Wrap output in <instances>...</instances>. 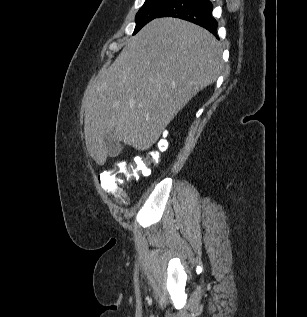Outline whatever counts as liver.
Listing matches in <instances>:
<instances>
[{"label": "liver", "instance_id": "liver-1", "mask_svg": "<svg viewBox=\"0 0 307 317\" xmlns=\"http://www.w3.org/2000/svg\"><path fill=\"white\" fill-rule=\"evenodd\" d=\"M222 68L220 44L207 30L176 18L151 21L85 91L89 154L98 165L105 163L112 130L119 141L147 150Z\"/></svg>", "mask_w": 307, "mask_h": 317}]
</instances>
